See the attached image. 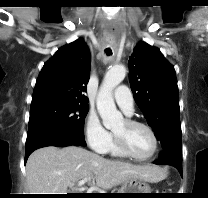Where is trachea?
Listing matches in <instances>:
<instances>
[{"instance_id":"trachea-1","label":"trachea","mask_w":208,"mask_h":198,"mask_svg":"<svg viewBox=\"0 0 208 198\" xmlns=\"http://www.w3.org/2000/svg\"><path fill=\"white\" fill-rule=\"evenodd\" d=\"M105 52H106L107 56H109V55H111V54H112V51H111V49H110V48H108V49H107V51L105 50Z\"/></svg>"}]
</instances>
